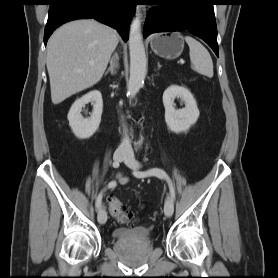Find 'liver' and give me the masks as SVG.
<instances>
[{
	"label": "liver",
	"mask_w": 278,
	"mask_h": 278,
	"mask_svg": "<svg viewBox=\"0 0 278 278\" xmlns=\"http://www.w3.org/2000/svg\"><path fill=\"white\" fill-rule=\"evenodd\" d=\"M118 41L115 29L93 19L58 28L47 44L52 103L59 104L100 81Z\"/></svg>",
	"instance_id": "obj_1"
}]
</instances>
